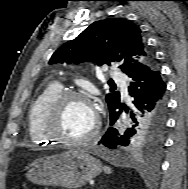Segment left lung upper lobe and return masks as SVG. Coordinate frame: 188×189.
I'll return each instance as SVG.
<instances>
[{
  "label": "left lung upper lobe",
  "mask_w": 188,
  "mask_h": 189,
  "mask_svg": "<svg viewBox=\"0 0 188 189\" xmlns=\"http://www.w3.org/2000/svg\"><path fill=\"white\" fill-rule=\"evenodd\" d=\"M153 59L137 25L121 18H107L94 22L77 38L63 44L49 63L92 61L101 66L120 61L119 68L128 75ZM106 102L112 110L120 102V93L107 94ZM164 127L139 126L132 134L128 148L145 146L151 152H157L162 144Z\"/></svg>",
  "instance_id": "obj_1"
}]
</instances>
